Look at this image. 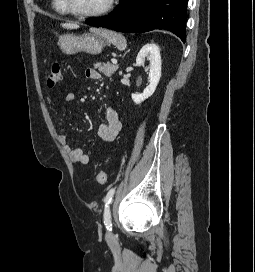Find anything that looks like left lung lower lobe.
Segmentation results:
<instances>
[{"instance_id": "obj_1", "label": "left lung lower lobe", "mask_w": 255, "mask_h": 272, "mask_svg": "<svg viewBox=\"0 0 255 272\" xmlns=\"http://www.w3.org/2000/svg\"><path fill=\"white\" fill-rule=\"evenodd\" d=\"M187 3L188 0H120L108 16L85 22L125 33L165 29L185 42Z\"/></svg>"}]
</instances>
